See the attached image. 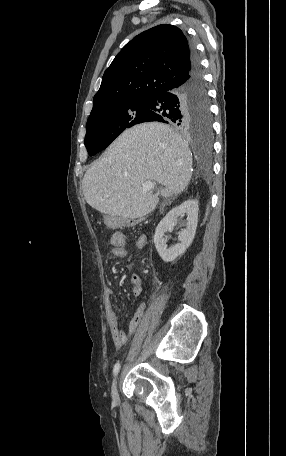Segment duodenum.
<instances>
[{
  "label": "duodenum",
  "instance_id": "obj_1",
  "mask_svg": "<svg viewBox=\"0 0 286 456\" xmlns=\"http://www.w3.org/2000/svg\"><path fill=\"white\" fill-rule=\"evenodd\" d=\"M120 220V224L122 225H127V226H132V225H135L136 224V219L134 218H119Z\"/></svg>",
  "mask_w": 286,
  "mask_h": 456
}]
</instances>
